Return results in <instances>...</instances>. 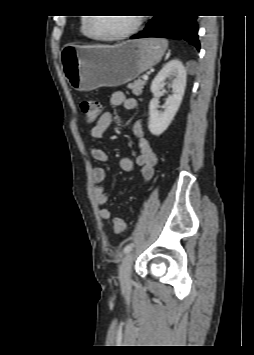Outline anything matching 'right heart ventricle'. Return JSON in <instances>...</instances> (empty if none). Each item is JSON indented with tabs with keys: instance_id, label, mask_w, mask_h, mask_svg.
<instances>
[{
	"instance_id": "obj_1",
	"label": "right heart ventricle",
	"mask_w": 254,
	"mask_h": 355,
	"mask_svg": "<svg viewBox=\"0 0 254 355\" xmlns=\"http://www.w3.org/2000/svg\"><path fill=\"white\" fill-rule=\"evenodd\" d=\"M87 19L88 17H82L81 21H80V31L82 33L83 36H85L87 39H92L87 31V27H86V23H87Z\"/></svg>"
}]
</instances>
